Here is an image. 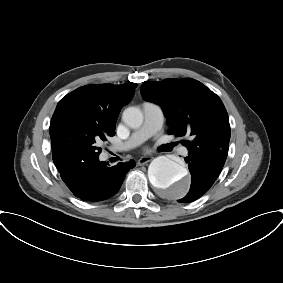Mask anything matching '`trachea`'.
I'll return each instance as SVG.
<instances>
[{
    "label": "trachea",
    "instance_id": "3493384b",
    "mask_svg": "<svg viewBox=\"0 0 283 283\" xmlns=\"http://www.w3.org/2000/svg\"><path fill=\"white\" fill-rule=\"evenodd\" d=\"M174 146H175V144H174V143H171V144H170V147H171V148H173Z\"/></svg>",
    "mask_w": 283,
    "mask_h": 283
}]
</instances>
